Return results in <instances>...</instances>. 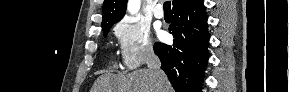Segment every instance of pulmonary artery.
Returning a JSON list of instances; mask_svg holds the SVG:
<instances>
[{"label":"pulmonary artery","mask_w":289,"mask_h":92,"mask_svg":"<svg viewBox=\"0 0 289 92\" xmlns=\"http://www.w3.org/2000/svg\"><path fill=\"white\" fill-rule=\"evenodd\" d=\"M153 13H154V16L156 18H158V19H161V18L164 17V13H163L162 7L159 4L155 7Z\"/></svg>","instance_id":"obj_1"}]
</instances>
